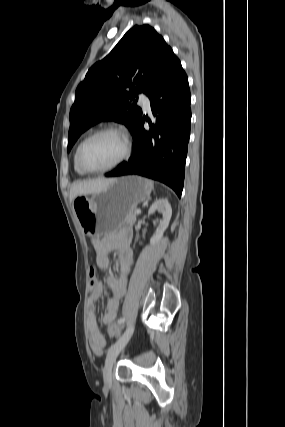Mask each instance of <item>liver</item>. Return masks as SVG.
I'll return each instance as SVG.
<instances>
[{
	"label": "liver",
	"instance_id": "obj_1",
	"mask_svg": "<svg viewBox=\"0 0 285 427\" xmlns=\"http://www.w3.org/2000/svg\"><path fill=\"white\" fill-rule=\"evenodd\" d=\"M115 179L113 178H98L75 182L70 189V201H73L77 196L89 195L97 193L107 188Z\"/></svg>",
	"mask_w": 285,
	"mask_h": 427
}]
</instances>
